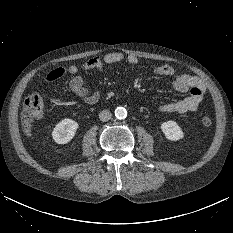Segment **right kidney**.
<instances>
[{
    "instance_id": "right-kidney-1",
    "label": "right kidney",
    "mask_w": 233,
    "mask_h": 233,
    "mask_svg": "<svg viewBox=\"0 0 233 233\" xmlns=\"http://www.w3.org/2000/svg\"><path fill=\"white\" fill-rule=\"evenodd\" d=\"M78 127V123L74 120L63 119L53 129L52 137L56 143L66 144L73 139Z\"/></svg>"
}]
</instances>
